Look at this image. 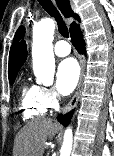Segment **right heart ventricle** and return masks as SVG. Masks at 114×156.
Masks as SVG:
<instances>
[{
    "label": "right heart ventricle",
    "instance_id": "right-heart-ventricle-1",
    "mask_svg": "<svg viewBox=\"0 0 114 156\" xmlns=\"http://www.w3.org/2000/svg\"><path fill=\"white\" fill-rule=\"evenodd\" d=\"M47 106L41 98V87L23 82L20 94V109L25 120H30L45 115Z\"/></svg>",
    "mask_w": 114,
    "mask_h": 156
}]
</instances>
